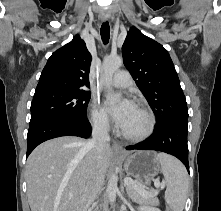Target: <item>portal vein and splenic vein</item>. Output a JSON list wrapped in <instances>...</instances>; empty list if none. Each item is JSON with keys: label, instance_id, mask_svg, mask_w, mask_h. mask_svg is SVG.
I'll return each mask as SVG.
<instances>
[{"label": "portal vein and splenic vein", "instance_id": "portal-vein-and-splenic-vein-1", "mask_svg": "<svg viewBox=\"0 0 221 211\" xmlns=\"http://www.w3.org/2000/svg\"><path fill=\"white\" fill-rule=\"evenodd\" d=\"M124 183H125V185H134V181L131 179V178H125L124 179ZM154 185H155V187L156 188H159L160 186H161V183H160V181L158 180V179H156V180H154ZM138 191L142 194V196H144V197H148V196H150V197H153L154 195L152 194V193H150V192H148V191H146V190H144V189H142V188H138Z\"/></svg>", "mask_w": 221, "mask_h": 211}]
</instances>
